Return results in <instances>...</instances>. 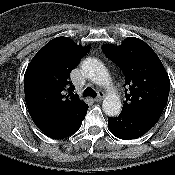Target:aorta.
<instances>
[{
    "label": "aorta",
    "instance_id": "obj_1",
    "mask_svg": "<svg viewBox=\"0 0 175 175\" xmlns=\"http://www.w3.org/2000/svg\"><path fill=\"white\" fill-rule=\"evenodd\" d=\"M82 70L91 81L99 85L109 83V74L105 66L94 58H87L82 63ZM103 111L108 116H118L121 112L122 104L118 95L109 93L103 100Z\"/></svg>",
    "mask_w": 175,
    "mask_h": 175
}]
</instances>
